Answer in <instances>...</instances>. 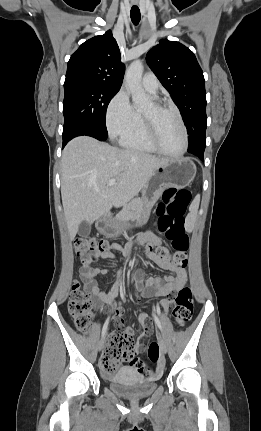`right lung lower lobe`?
<instances>
[{
    "mask_svg": "<svg viewBox=\"0 0 261 431\" xmlns=\"http://www.w3.org/2000/svg\"><path fill=\"white\" fill-rule=\"evenodd\" d=\"M82 134L81 128L76 125L63 128V147L74 137Z\"/></svg>",
    "mask_w": 261,
    "mask_h": 431,
    "instance_id": "98d812e1",
    "label": "right lung lower lobe"
}]
</instances>
